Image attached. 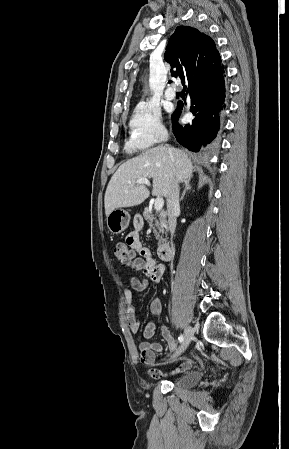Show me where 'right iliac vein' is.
Returning a JSON list of instances; mask_svg holds the SVG:
<instances>
[{
    "label": "right iliac vein",
    "instance_id": "obj_1",
    "mask_svg": "<svg viewBox=\"0 0 289 449\" xmlns=\"http://www.w3.org/2000/svg\"><path fill=\"white\" fill-rule=\"evenodd\" d=\"M193 334H194V331H193L192 327H190V326L186 327L182 345H181L179 351L177 352V354L174 356V359L177 358L179 355H181L187 349V347L189 346V344L193 338Z\"/></svg>",
    "mask_w": 289,
    "mask_h": 449
}]
</instances>
